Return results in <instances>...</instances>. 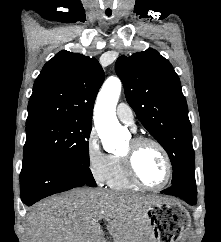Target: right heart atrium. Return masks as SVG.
Instances as JSON below:
<instances>
[{"instance_id":"right-heart-atrium-1","label":"right heart atrium","mask_w":221,"mask_h":242,"mask_svg":"<svg viewBox=\"0 0 221 242\" xmlns=\"http://www.w3.org/2000/svg\"><path fill=\"white\" fill-rule=\"evenodd\" d=\"M85 152L88 170L94 180L98 184L106 182L111 163V155L103 151L95 131H91L86 138Z\"/></svg>"}]
</instances>
